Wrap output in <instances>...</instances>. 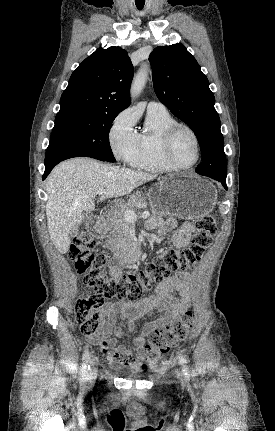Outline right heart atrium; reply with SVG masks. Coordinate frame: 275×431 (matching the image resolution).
<instances>
[{"label":"right heart atrium","mask_w":275,"mask_h":431,"mask_svg":"<svg viewBox=\"0 0 275 431\" xmlns=\"http://www.w3.org/2000/svg\"><path fill=\"white\" fill-rule=\"evenodd\" d=\"M108 140L114 156L132 164L139 149V136L135 129V118L128 110L121 111L112 121Z\"/></svg>","instance_id":"1"}]
</instances>
